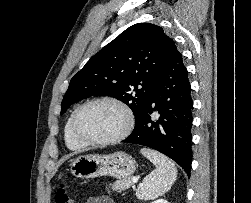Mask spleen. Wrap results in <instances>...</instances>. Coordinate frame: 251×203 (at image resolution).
<instances>
[{
  "mask_svg": "<svg viewBox=\"0 0 251 203\" xmlns=\"http://www.w3.org/2000/svg\"><path fill=\"white\" fill-rule=\"evenodd\" d=\"M141 154L147 157L156 168L147 175L136 189V196L140 200H153L170 190L177 178L175 164L165 155L150 148H142Z\"/></svg>",
  "mask_w": 251,
  "mask_h": 203,
  "instance_id": "1",
  "label": "spleen"
}]
</instances>
